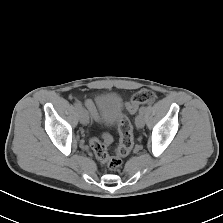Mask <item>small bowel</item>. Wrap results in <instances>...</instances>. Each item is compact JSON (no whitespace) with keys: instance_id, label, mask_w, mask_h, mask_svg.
I'll use <instances>...</instances> for the list:
<instances>
[{"instance_id":"c3829d8e","label":"small bowel","mask_w":223,"mask_h":223,"mask_svg":"<svg viewBox=\"0 0 223 223\" xmlns=\"http://www.w3.org/2000/svg\"><path fill=\"white\" fill-rule=\"evenodd\" d=\"M84 104H85V107L87 108L88 112L92 116V118L95 121H99L100 120V113H99L96 102L94 100L87 99V100L84 101Z\"/></svg>"}]
</instances>
